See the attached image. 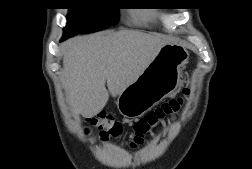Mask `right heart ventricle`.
<instances>
[{
  "mask_svg": "<svg viewBox=\"0 0 252 169\" xmlns=\"http://www.w3.org/2000/svg\"><path fill=\"white\" fill-rule=\"evenodd\" d=\"M133 16L139 20H148L152 17L151 14L148 13H142V12H138V13H134Z\"/></svg>",
  "mask_w": 252,
  "mask_h": 169,
  "instance_id": "right-heart-ventricle-1",
  "label": "right heart ventricle"
}]
</instances>
